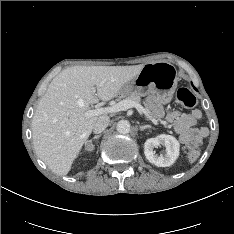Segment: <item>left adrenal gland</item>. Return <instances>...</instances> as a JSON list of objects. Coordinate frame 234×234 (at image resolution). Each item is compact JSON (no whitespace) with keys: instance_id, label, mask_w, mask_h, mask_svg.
Listing matches in <instances>:
<instances>
[{"instance_id":"1","label":"left adrenal gland","mask_w":234,"mask_h":234,"mask_svg":"<svg viewBox=\"0 0 234 234\" xmlns=\"http://www.w3.org/2000/svg\"><path fill=\"white\" fill-rule=\"evenodd\" d=\"M147 128H152L150 125H143V126H139V129L141 130V131H143L144 129H147Z\"/></svg>"}]
</instances>
